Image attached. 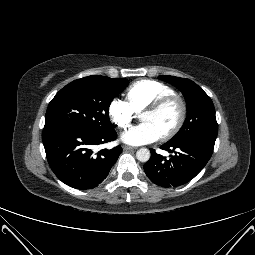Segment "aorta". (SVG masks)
<instances>
[{
	"label": "aorta",
	"instance_id": "aorta-1",
	"mask_svg": "<svg viewBox=\"0 0 255 255\" xmlns=\"http://www.w3.org/2000/svg\"><path fill=\"white\" fill-rule=\"evenodd\" d=\"M150 156H151L150 151L147 148H140L136 152V158L140 162H147L150 159Z\"/></svg>",
	"mask_w": 255,
	"mask_h": 255
}]
</instances>
